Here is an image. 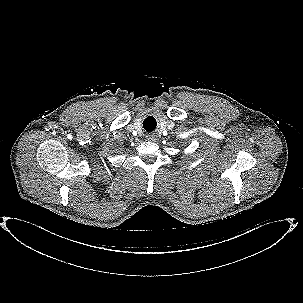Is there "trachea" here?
<instances>
[{"label":"trachea","mask_w":303,"mask_h":303,"mask_svg":"<svg viewBox=\"0 0 303 303\" xmlns=\"http://www.w3.org/2000/svg\"><path fill=\"white\" fill-rule=\"evenodd\" d=\"M150 118H151V117L146 118V119L144 120V122H143V126H144L145 129H146L147 125H149V120H150Z\"/></svg>","instance_id":"3493384b"}]
</instances>
